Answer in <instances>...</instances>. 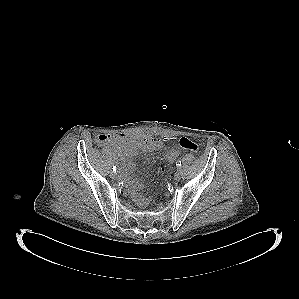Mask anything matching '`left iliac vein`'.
I'll use <instances>...</instances> for the list:
<instances>
[{
  "instance_id": "1",
  "label": "left iliac vein",
  "mask_w": 299,
  "mask_h": 299,
  "mask_svg": "<svg viewBox=\"0 0 299 299\" xmlns=\"http://www.w3.org/2000/svg\"><path fill=\"white\" fill-rule=\"evenodd\" d=\"M181 177H182V173H181V171H180V170H177L176 173H175V175H174V179H175L176 181H179V180L181 179Z\"/></svg>"
}]
</instances>
